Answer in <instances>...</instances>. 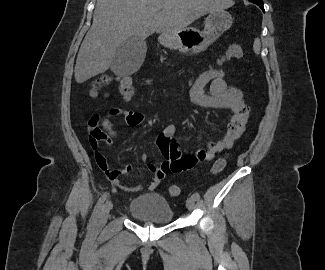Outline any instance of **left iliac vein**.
I'll use <instances>...</instances> for the list:
<instances>
[{"label": "left iliac vein", "mask_w": 325, "mask_h": 270, "mask_svg": "<svg viewBox=\"0 0 325 270\" xmlns=\"http://www.w3.org/2000/svg\"><path fill=\"white\" fill-rule=\"evenodd\" d=\"M186 206L189 211H192L195 207V199L192 197H189L186 201Z\"/></svg>", "instance_id": "left-iliac-vein-1"}]
</instances>
